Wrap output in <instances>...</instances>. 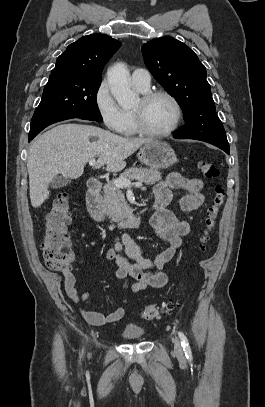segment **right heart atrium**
<instances>
[{
  "instance_id": "obj_1",
  "label": "right heart atrium",
  "mask_w": 265,
  "mask_h": 407,
  "mask_svg": "<svg viewBox=\"0 0 265 407\" xmlns=\"http://www.w3.org/2000/svg\"><path fill=\"white\" fill-rule=\"evenodd\" d=\"M94 103L104 125L109 130L119 132L124 122L123 110L114 99L106 80H103L96 88Z\"/></svg>"
}]
</instances>
